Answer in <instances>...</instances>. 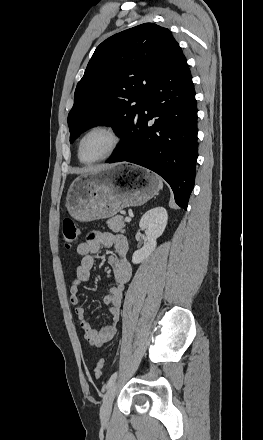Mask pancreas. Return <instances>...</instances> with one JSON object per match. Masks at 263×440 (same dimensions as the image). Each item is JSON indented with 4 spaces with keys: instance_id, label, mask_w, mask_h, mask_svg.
<instances>
[{
    "instance_id": "cf45deb5",
    "label": "pancreas",
    "mask_w": 263,
    "mask_h": 440,
    "mask_svg": "<svg viewBox=\"0 0 263 440\" xmlns=\"http://www.w3.org/2000/svg\"><path fill=\"white\" fill-rule=\"evenodd\" d=\"M108 227L113 231V232H123L124 231V227H125V223L123 221V217L121 215H116L112 218H110L107 221Z\"/></svg>"
}]
</instances>
